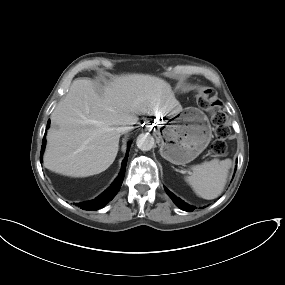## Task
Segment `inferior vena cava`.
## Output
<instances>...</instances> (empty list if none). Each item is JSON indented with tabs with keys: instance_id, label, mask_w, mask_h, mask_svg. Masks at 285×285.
Segmentation results:
<instances>
[{
	"instance_id": "602c4592",
	"label": "inferior vena cava",
	"mask_w": 285,
	"mask_h": 285,
	"mask_svg": "<svg viewBox=\"0 0 285 285\" xmlns=\"http://www.w3.org/2000/svg\"><path fill=\"white\" fill-rule=\"evenodd\" d=\"M131 124H125V125H122V126H119L118 128H117V131L119 132V133H126V132H128V131H130L131 129H132V127L130 126Z\"/></svg>"
}]
</instances>
